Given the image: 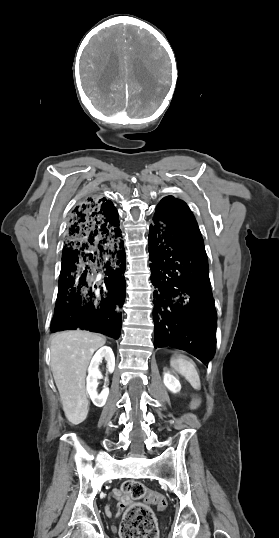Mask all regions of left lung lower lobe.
Listing matches in <instances>:
<instances>
[{"mask_svg": "<svg viewBox=\"0 0 279 538\" xmlns=\"http://www.w3.org/2000/svg\"><path fill=\"white\" fill-rule=\"evenodd\" d=\"M149 255L155 348L185 350L208 364L216 349L217 314L201 233L150 225Z\"/></svg>", "mask_w": 279, "mask_h": 538, "instance_id": "1", "label": "left lung lower lobe"}]
</instances>
